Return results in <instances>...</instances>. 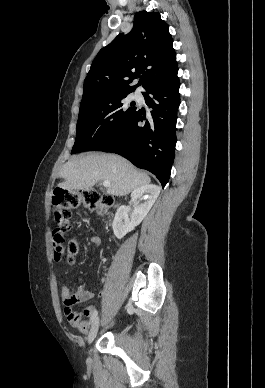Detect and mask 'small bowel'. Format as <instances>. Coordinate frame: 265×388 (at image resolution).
Here are the masks:
<instances>
[{"instance_id":"1","label":"small bowel","mask_w":265,"mask_h":388,"mask_svg":"<svg viewBox=\"0 0 265 388\" xmlns=\"http://www.w3.org/2000/svg\"><path fill=\"white\" fill-rule=\"evenodd\" d=\"M89 245L93 247L94 249H98L101 245V239L98 236H91L88 240ZM102 285H104V281L102 282ZM102 291L100 292V294ZM62 299L65 305V313L69 311H73L71 309V306L78 300H87L91 299L95 293L92 290H83L79 292L77 295L71 294L70 290L67 286H62L61 290ZM95 311L94 306L90 305L86 307L84 314L86 316H91L93 312ZM75 329H77L81 333H85L88 328V321L86 320H79L76 324H72Z\"/></svg>"}]
</instances>
